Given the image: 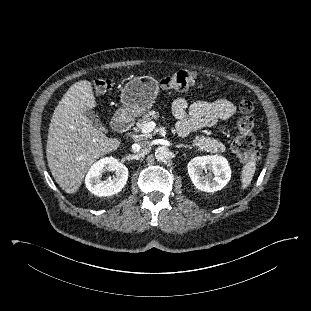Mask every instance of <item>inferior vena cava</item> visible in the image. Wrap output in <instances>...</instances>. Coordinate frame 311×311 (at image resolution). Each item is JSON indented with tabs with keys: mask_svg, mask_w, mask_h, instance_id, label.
<instances>
[{
	"mask_svg": "<svg viewBox=\"0 0 311 311\" xmlns=\"http://www.w3.org/2000/svg\"><path fill=\"white\" fill-rule=\"evenodd\" d=\"M150 147L149 141H142L140 144L135 143L132 145V152L136 153L139 152L140 150H147Z\"/></svg>",
	"mask_w": 311,
	"mask_h": 311,
	"instance_id": "1",
	"label": "inferior vena cava"
}]
</instances>
